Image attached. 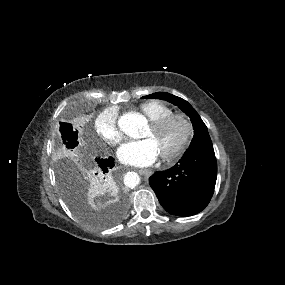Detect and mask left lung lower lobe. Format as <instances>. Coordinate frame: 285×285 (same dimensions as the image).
Listing matches in <instances>:
<instances>
[{"instance_id": "0a47b994", "label": "left lung lower lobe", "mask_w": 285, "mask_h": 285, "mask_svg": "<svg viewBox=\"0 0 285 285\" xmlns=\"http://www.w3.org/2000/svg\"><path fill=\"white\" fill-rule=\"evenodd\" d=\"M217 178V162L212 144L195 146L180 162L149 178L160 204L172 215L191 216L210 202Z\"/></svg>"}]
</instances>
